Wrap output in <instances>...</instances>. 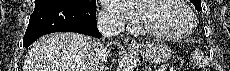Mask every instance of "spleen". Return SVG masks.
I'll use <instances>...</instances> for the list:
<instances>
[{"mask_svg": "<svg viewBox=\"0 0 230 71\" xmlns=\"http://www.w3.org/2000/svg\"><path fill=\"white\" fill-rule=\"evenodd\" d=\"M192 61L196 63L199 67H205L207 66V61L203 58V56L198 52L197 50L193 52L192 54Z\"/></svg>", "mask_w": 230, "mask_h": 71, "instance_id": "1", "label": "spleen"}]
</instances>
